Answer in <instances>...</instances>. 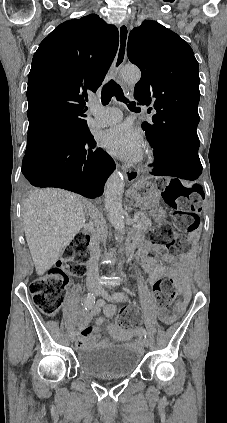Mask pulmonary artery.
<instances>
[{
    "instance_id": "pulmonary-artery-1",
    "label": "pulmonary artery",
    "mask_w": 227,
    "mask_h": 423,
    "mask_svg": "<svg viewBox=\"0 0 227 423\" xmlns=\"http://www.w3.org/2000/svg\"><path fill=\"white\" fill-rule=\"evenodd\" d=\"M91 112L94 115L91 126L97 129L116 125L123 117L122 112L115 107H95L91 109Z\"/></svg>"
}]
</instances>
